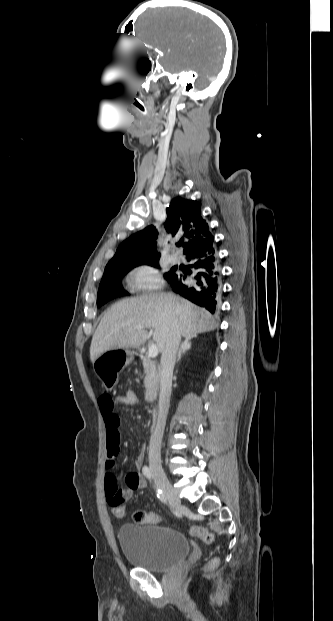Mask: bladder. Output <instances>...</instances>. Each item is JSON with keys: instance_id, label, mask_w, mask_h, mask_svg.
Listing matches in <instances>:
<instances>
[{"instance_id": "bladder-1", "label": "bladder", "mask_w": 333, "mask_h": 621, "mask_svg": "<svg viewBox=\"0 0 333 621\" xmlns=\"http://www.w3.org/2000/svg\"><path fill=\"white\" fill-rule=\"evenodd\" d=\"M118 541L130 564L151 572L168 571L189 553L182 533L155 524H125L118 530Z\"/></svg>"}]
</instances>
